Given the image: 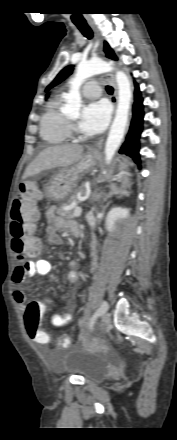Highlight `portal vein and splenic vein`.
Returning <instances> with one entry per match:
<instances>
[{
	"mask_svg": "<svg viewBox=\"0 0 177 440\" xmlns=\"http://www.w3.org/2000/svg\"><path fill=\"white\" fill-rule=\"evenodd\" d=\"M82 199L84 200L85 198H82ZM81 213H82L81 207H77L74 211V216L79 217L81 215Z\"/></svg>",
	"mask_w": 177,
	"mask_h": 440,
	"instance_id": "18ae733b",
	"label": "portal vein and splenic vein"
}]
</instances>
